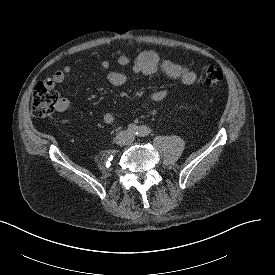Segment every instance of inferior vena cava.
<instances>
[{
	"instance_id": "inferior-vena-cava-1",
	"label": "inferior vena cava",
	"mask_w": 275,
	"mask_h": 275,
	"mask_svg": "<svg viewBox=\"0 0 275 275\" xmlns=\"http://www.w3.org/2000/svg\"><path fill=\"white\" fill-rule=\"evenodd\" d=\"M115 141L119 145H126L129 144L132 141V138L129 136V134L125 131H120L116 138Z\"/></svg>"
}]
</instances>
